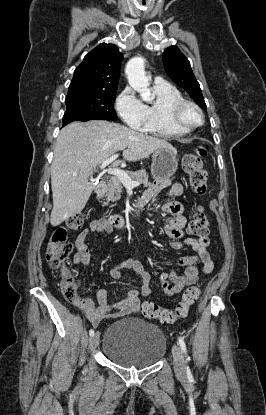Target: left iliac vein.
<instances>
[{
    "mask_svg": "<svg viewBox=\"0 0 266 415\" xmlns=\"http://www.w3.org/2000/svg\"><path fill=\"white\" fill-rule=\"evenodd\" d=\"M174 368L178 375L183 376L185 374V361L181 348L178 345L172 347Z\"/></svg>",
    "mask_w": 266,
    "mask_h": 415,
    "instance_id": "4c4485c4",
    "label": "left iliac vein"
}]
</instances>
